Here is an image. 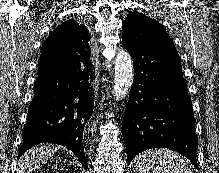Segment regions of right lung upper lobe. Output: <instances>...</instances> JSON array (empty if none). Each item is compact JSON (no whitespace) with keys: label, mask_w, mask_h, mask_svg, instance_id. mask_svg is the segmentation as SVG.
Instances as JSON below:
<instances>
[{"label":"right lung upper lobe","mask_w":219,"mask_h":173,"mask_svg":"<svg viewBox=\"0 0 219 173\" xmlns=\"http://www.w3.org/2000/svg\"><path fill=\"white\" fill-rule=\"evenodd\" d=\"M91 36L87 28L73 20L54 29L41 47V60H54L58 64L66 61L69 54L83 55L90 60L88 41Z\"/></svg>","instance_id":"cb5924a9"}]
</instances>
